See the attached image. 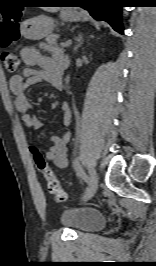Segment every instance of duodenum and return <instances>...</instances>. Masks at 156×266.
<instances>
[{"instance_id":"obj_1","label":"duodenum","mask_w":156,"mask_h":266,"mask_svg":"<svg viewBox=\"0 0 156 266\" xmlns=\"http://www.w3.org/2000/svg\"><path fill=\"white\" fill-rule=\"evenodd\" d=\"M64 66H65V68H67L69 66V61L68 60L65 61Z\"/></svg>"}]
</instances>
